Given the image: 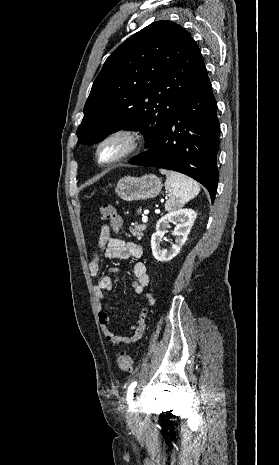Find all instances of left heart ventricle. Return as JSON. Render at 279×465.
<instances>
[{
    "label": "left heart ventricle",
    "mask_w": 279,
    "mask_h": 465,
    "mask_svg": "<svg viewBox=\"0 0 279 465\" xmlns=\"http://www.w3.org/2000/svg\"><path fill=\"white\" fill-rule=\"evenodd\" d=\"M124 149V142L121 139H114L105 144L101 150V157L104 160L117 156Z\"/></svg>",
    "instance_id": "b2bd125f"
}]
</instances>
